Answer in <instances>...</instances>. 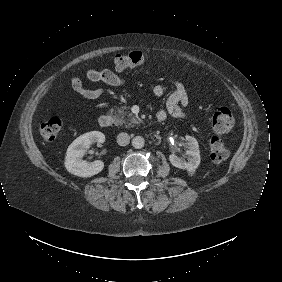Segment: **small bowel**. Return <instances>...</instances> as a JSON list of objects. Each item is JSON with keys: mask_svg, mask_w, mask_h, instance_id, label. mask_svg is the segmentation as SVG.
Listing matches in <instances>:
<instances>
[{"mask_svg": "<svg viewBox=\"0 0 282 282\" xmlns=\"http://www.w3.org/2000/svg\"><path fill=\"white\" fill-rule=\"evenodd\" d=\"M85 75L92 82H101L111 87H120L124 84V79L109 69L89 68L86 70ZM70 82L72 89L87 100H95L105 92L104 89H88L84 87L82 80L78 76H72ZM168 87H172L173 92L167 98L166 107L156 113V119L163 122L168 116H172L180 120H189L191 117L185 111L189 101V91L181 81L168 79L150 85L152 93L156 96H162Z\"/></svg>", "mask_w": 282, "mask_h": 282, "instance_id": "obj_1", "label": "small bowel"}]
</instances>
